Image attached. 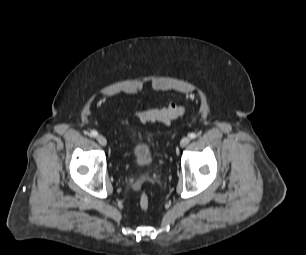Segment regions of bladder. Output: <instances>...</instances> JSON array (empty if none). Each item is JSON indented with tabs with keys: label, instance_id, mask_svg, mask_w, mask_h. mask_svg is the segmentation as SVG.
Instances as JSON below:
<instances>
[{
	"label": "bladder",
	"instance_id": "31cf9c89",
	"mask_svg": "<svg viewBox=\"0 0 306 255\" xmlns=\"http://www.w3.org/2000/svg\"><path fill=\"white\" fill-rule=\"evenodd\" d=\"M153 154L149 145L139 141L132 152V163L138 168L149 167L153 163Z\"/></svg>",
	"mask_w": 306,
	"mask_h": 255
}]
</instances>
